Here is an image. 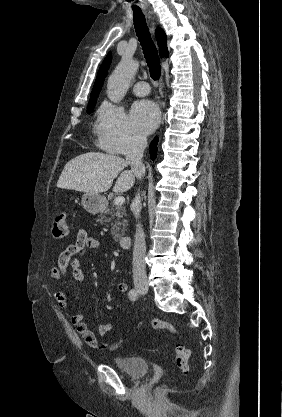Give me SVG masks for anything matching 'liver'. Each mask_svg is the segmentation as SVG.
I'll list each match as a JSON object with an SVG mask.
<instances>
[{
    "label": "liver",
    "mask_w": 282,
    "mask_h": 417,
    "mask_svg": "<svg viewBox=\"0 0 282 417\" xmlns=\"http://www.w3.org/2000/svg\"><path fill=\"white\" fill-rule=\"evenodd\" d=\"M129 162L115 154L85 152L65 164L57 182L59 188H72L80 192H106L118 176L114 192H126L135 182L132 170H124Z\"/></svg>",
    "instance_id": "obj_1"
}]
</instances>
